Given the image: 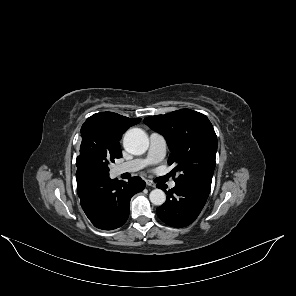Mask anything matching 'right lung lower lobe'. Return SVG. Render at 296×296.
<instances>
[{
	"label": "right lung lower lobe",
	"instance_id": "obj_1",
	"mask_svg": "<svg viewBox=\"0 0 296 296\" xmlns=\"http://www.w3.org/2000/svg\"><path fill=\"white\" fill-rule=\"evenodd\" d=\"M76 166L78 196L91 223L103 230L122 226L129 216L131 197L142 191L146 183L140 177L128 182L112 180L93 161L79 156Z\"/></svg>",
	"mask_w": 296,
	"mask_h": 296
}]
</instances>
